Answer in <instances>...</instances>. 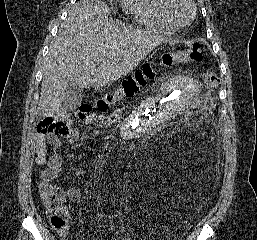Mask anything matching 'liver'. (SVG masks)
<instances>
[{"mask_svg":"<svg viewBox=\"0 0 257 240\" xmlns=\"http://www.w3.org/2000/svg\"><path fill=\"white\" fill-rule=\"evenodd\" d=\"M102 0H80L53 39L43 69L37 114L58 116L70 81L100 91L129 74L165 38L109 20ZM102 64L97 68V64Z\"/></svg>","mask_w":257,"mask_h":240,"instance_id":"1","label":"liver"}]
</instances>
